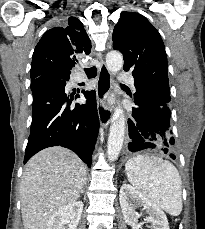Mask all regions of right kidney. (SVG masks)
Masks as SVG:
<instances>
[{"mask_svg": "<svg viewBox=\"0 0 205 229\" xmlns=\"http://www.w3.org/2000/svg\"><path fill=\"white\" fill-rule=\"evenodd\" d=\"M83 211V202L77 201L61 207L50 218L46 229H76Z\"/></svg>", "mask_w": 205, "mask_h": 229, "instance_id": "right-kidney-1", "label": "right kidney"}]
</instances>
